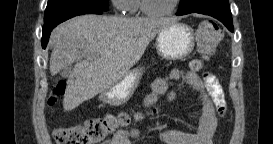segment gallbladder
Returning a JSON list of instances; mask_svg holds the SVG:
<instances>
[{"instance_id": "1", "label": "gallbladder", "mask_w": 273, "mask_h": 144, "mask_svg": "<svg viewBox=\"0 0 273 144\" xmlns=\"http://www.w3.org/2000/svg\"><path fill=\"white\" fill-rule=\"evenodd\" d=\"M73 69L72 65H67L66 68L61 71V76L63 80H68L69 79V74L71 72V70Z\"/></svg>"}]
</instances>
